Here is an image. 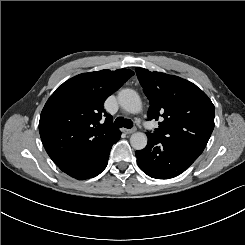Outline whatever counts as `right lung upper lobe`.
Returning a JSON list of instances; mask_svg holds the SVG:
<instances>
[{
	"label": "right lung upper lobe",
	"instance_id": "obj_1",
	"mask_svg": "<svg viewBox=\"0 0 245 245\" xmlns=\"http://www.w3.org/2000/svg\"><path fill=\"white\" fill-rule=\"evenodd\" d=\"M133 75L128 69L83 73L51 95L41 112L39 132L58 167L83 150L102 146L119 132L112 127V117L104 111L103 103Z\"/></svg>",
	"mask_w": 245,
	"mask_h": 245
}]
</instances>
